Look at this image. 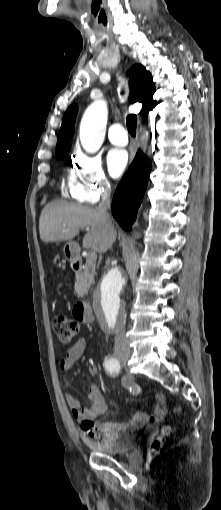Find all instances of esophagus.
Returning <instances> with one entry per match:
<instances>
[{
	"label": "esophagus",
	"instance_id": "esophagus-1",
	"mask_svg": "<svg viewBox=\"0 0 221 510\" xmlns=\"http://www.w3.org/2000/svg\"><path fill=\"white\" fill-rule=\"evenodd\" d=\"M133 152H134V149L132 148V149H131V155H133Z\"/></svg>",
	"mask_w": 221,
	"mask_h": 510
}]
</instances>
